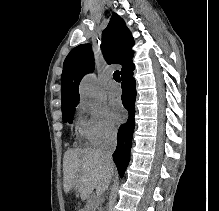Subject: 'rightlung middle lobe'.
Listing matches in <instances>:
<instances>
[{
    "instance_id": "right-lung-middle-lobe-1",
    "label": "right lung middle lobe",
    "mask_w": 219,
    "mask_h": 211,
    "mask_svg": "<svg viewBox=\"0 0 219 211\" xmlns=\"http://www.w3.org/2000/svg\"><path fill=\"white\" fill-rule=\"evenodd\" d=\"M77 104L78 102L62 105V117L65 122L72 123Z\"/></svg>"
}]
</instances>
